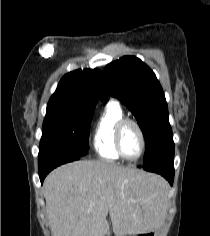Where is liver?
Segmentation results:
<instances>
[{"mask_svg": "<svg viewBox=\"0 0 210 236\" xmlns=\"http://www.w3.org/2000/svg\"><path fill=\"white\" fill-rule=\"evenodd\" d=\"M166 187L159 175L106 160L62 165L43 184L52 236H105L108 213L116 236L154 229Z\"/></svg>", "mask_w": 210, "mask_h": 236, "instance_id": "1", "label": "liver"}]
</instances>
